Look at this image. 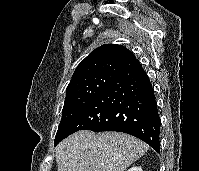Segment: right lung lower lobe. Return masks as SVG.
I'll return each instance as SVG.
<instances>
[{"label": "right lung lower lobe", "instance_id": "1", "mask_svg": "<svg viewBox=\"0 0 199 171\" xmlns=\"http://www.w3.org/2000/svg\"><path fill=\"white\" fill-rule=\"evenodd\" d=\"M79 130L128 133L160 153V117L153 88L140 63L99 89L69 123L60 141Z\"/></svg>", "mask_w": 199, "mask_h": 171}]
</instances>
